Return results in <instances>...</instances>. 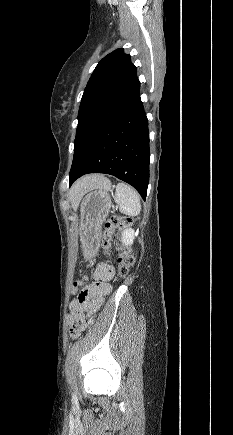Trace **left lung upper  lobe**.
I'll return each instance as SVG.
<instances>
[{
  "label": "left lung upper lobe",
  "mask_w": 233,
  "mask_h": 435,
  "mask_svg": "<svg viewBox=\"0 0 233 435\" xmlns=\"http://www.w3.org/2000/svg\"><path fill=\"white\" fill-rule=\"evenodd\" d=\"M139 90L136 67L122 48L98 63L81 99L72 164L140 98Z\"/></svg>",
  "instance_id": "1"
}]
</instances>
